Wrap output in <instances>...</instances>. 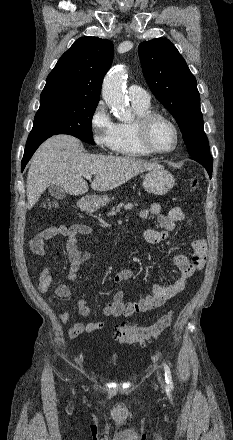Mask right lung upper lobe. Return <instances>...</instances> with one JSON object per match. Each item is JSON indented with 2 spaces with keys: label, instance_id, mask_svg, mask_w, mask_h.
<instances>
[{
  "label": "right lung upper lobe",
  "instance_id": "cb5924a9",
  "mask_svg": "<svg viewBox=\"0 0 233 440\" xmlns=\"http://www.w3.org/2000/svg\"><path fill=\"white\" fill-rule=\"evenodd\" d=\"M112 60L111 41L91 36L77 39L48 75L40 103L52 99L99 102L102 81Z\"/></svg>",
  "mask_w": 233,
  "mask_h": 440
}]
</instances>
